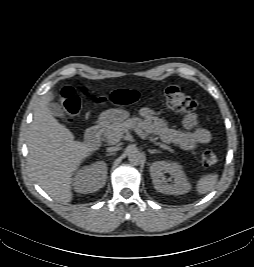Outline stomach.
Listing matches in <instances>:
<instances>
[{
    "label": "stomach",
    "mask_w": 254,
    "mask_h": 267,
    "mask_svg": "<svg viewBox=\"0 0 254 267\" xmlns=\"http://www.w3.org/2000/svg\"><path fill=\"white\" fill-rule=\"evenodd\" d=\"M129 117V112L123 109H108L101 113L99 121L102 125L107 126L111 123L122 122Z\"/></svg>",
    "instance_id": "0dacf381"
}]
</instances>
